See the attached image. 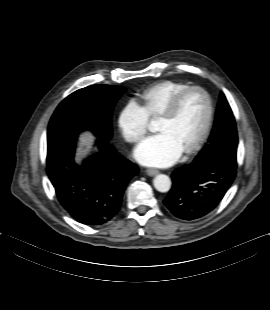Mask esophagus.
<instances>
[{
  "mask_svg": "<svg viewBox=\"0 0 270 310\" xmlns=\"http://www.w3.org/2000/svg\"><path fill=\"white\" fill-rule=\"evenodd\" d=\"M146 173H147L149 176H154V175H156V174L159 173V170L154 169V168H148V169L146 170Z\"/></svg>",
  "mask_w": 270,
  "mask_h": 310,
  "instance_id": "34e87169",
  "label": "esophagus"
}]
</instances>
